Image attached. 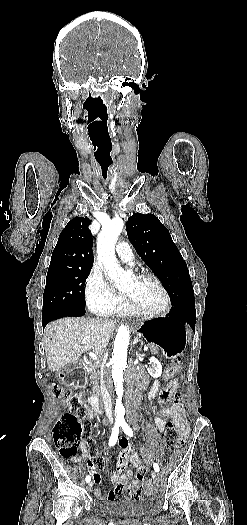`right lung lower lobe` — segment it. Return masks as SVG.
<instances>
[{"label": "right lung lower lobe", "instance_id": "right-lung-lower-lobe-1", "mask_svg": "<svg viewBox=\"0 0 247 525\" xmlns=\"http://www.w3.org/2000/svg\"><path fill=\"white\" fill-rule=\"evenodd\" d=\"M72 315L70 316H80V315H83L85 313V310L84 311H71ZM48 322L46 321H42V325H43V328L46 326Z\"/></svg>", "mask_w": 247, "mask_h": 525}]
</instances>
